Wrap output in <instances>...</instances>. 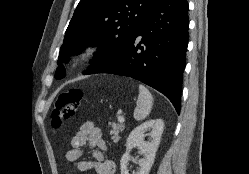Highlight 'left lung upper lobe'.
Instances as JSON below:
<instances>
[{
	"instance_id": "left-lung-upper-lobe-1",
	"label": "left lung upper lobe",
	"mask_w": 249,
	"mask_h": 174,
	"mask_svg": "<svg viewBox=\"0 0 249 174\" xmlns=\"http://www.w3.org/2000/svg\"><path fill=\"white\" fill-rule=\"evenodd\" d=\"M156 0H81L65 33L55 78L65 76L61 65L87 46H99L90 69L91 74L112 66L139 32Z\"/></svg>"
}]
</instances>
